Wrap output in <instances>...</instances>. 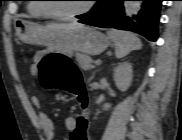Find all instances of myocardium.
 Masks as SVG:
<instances>
[{"mask_svg":"<svg viewBox=\"0 0 182 140\" xmlns=\"http://www.w3.org/2000/svg\"><path fill=\"white\" fill-rule=\"evenodd\" d=\"M46 1H51V0H46ZM92 7V3L88 2L82 9L76 11V12H71V13H65V12H60L58 11L54 4H44V9L46 10L47 14L53 18L57 19H63V20H68V19H74L79 16H82L86 14L87 12L90 11Z\"/></svg>","mask_w":182,"mask_h":140,"instance_id":"obj_1","label":"myocardium"}]
</instances>
